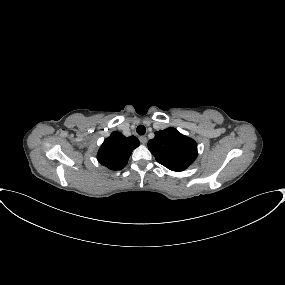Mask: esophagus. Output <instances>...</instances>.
I'll return each instance as SVG.
<instances>
[{
  "instance_id": "34e87169",
  "label": "esophagus",
  "mask_w": 285,
  "mask_h": 285,
  "mask_svg": "<svg viewBox=\"0 0 285 285\" xmlns=\"http://www.w3.org/2000/svg\"><path fill=\"white\" fill-rule=\"evenodd\" d=\"M139 140L143 145H145L147 143V137L146 136H140Z\"/></svg>"
}]
</instances>
